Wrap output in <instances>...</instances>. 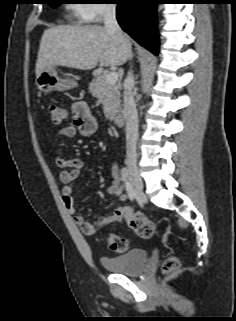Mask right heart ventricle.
<instances>
[{"label":"right heart ventricle","mask_w":236,"mask_h":321,"mask_svg":"<svg viewBox=\"0 0 236 321\" xmlns=\"http://www.w3.org/2000/svg\"><path fill=\"white\" fill-rule=\"evenodd\" d=\"M84 9L85 5L81 4H73L70 5V17L72 20L77 22L84 21Z\"/></svg>","instance_id":"right-heart-ventricle-1"}]
</instances>
